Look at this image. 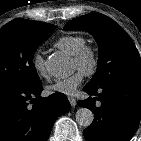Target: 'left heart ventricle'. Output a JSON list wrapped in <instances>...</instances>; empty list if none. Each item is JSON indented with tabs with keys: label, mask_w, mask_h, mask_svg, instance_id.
<instances>
[{
	"label": "left heart ventricle",
	"mask_w": 141,
	"mask_h": 141,
	"mask_svg": "<svg viewBox=\"0 0 141 141\" xmlns=\"http://www.w3.org/2000/svg\"><path fill=\"white\" fill-rule=\"evenodd\" d=\"M73 66H74L75 69L79 70V66H78V64L76 63V61L73 62Z\"/></svg>",
	"instance_id": "obj_1"
}]
</instances>
